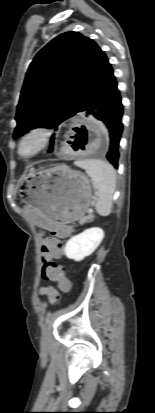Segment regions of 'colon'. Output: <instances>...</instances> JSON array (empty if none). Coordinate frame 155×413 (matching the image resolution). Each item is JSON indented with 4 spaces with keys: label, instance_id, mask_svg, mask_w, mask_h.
<instances>
[{
    "label": "colon",
    "instance_id": "1",
    "mask_svg": "<svg viewBox=\"0 0 155 413\" xmlns=\"http://www.w3.org/2000/svg\"><path fill=\"white\" fill-rule=\"evenodd\" d=\"M60 242L56 237H50L46 240L45 244L41 249V261L42 270L41 277L46 281H56L57 287L60 290H71L72 283L70 281L69 275L64 273V268L62 265L58 264L54 258L60 255ZM51 301H56L58 299L57 292L51 291L48 294Z\"/></svg>",
    "mask_w": 155,
    "mask_h": 413
}]
</instances>
